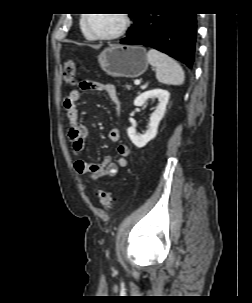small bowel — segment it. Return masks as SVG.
<instances>
[{"instance_id":"small-bowel-1","label":"small bowel","mask_w":252,"mask_h":303,"mask_svg":"<svg viewBox=\"0 0 252 303\" xmlns=\"http://www.w3.org/2000/svg\"><path fill=\"white\" fill-rule=\"evenodd\" d=\"M86 90H96L106 93L114 105L117 115L120 113V99L113 84H101L86 80L82 81L77 89L70 91L64 101V108L69 120L67 138L74 156L80 155L84 149L88 134V125L80 119L78 109L81 94ZM108 137L113 143L119 142L121 139L119 127L112 128L108 133ZM128 154L129 148L127 145H118L116 147L115 158L107 157L101 162H86L81 158H77L74 162V169L78 174H87L94 181L106 179L115 176L120 168L127 166Z\"/></svg>"}]
</instances>
